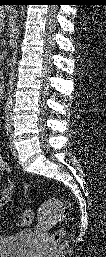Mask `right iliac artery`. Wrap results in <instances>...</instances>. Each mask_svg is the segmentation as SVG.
Here are the masks:
<instances>
[{
	"instance_id": "82829eb1",
	"label": "right iliac artery",
	"mask_w": 106,
	"mask_h": 257,
	"mask_svg": "<svg viewBox=\"0 0 106 257\" xmlns=\"http://www.w3.org/2000/svg\"><path fill=\"white\" fill-rule=\"evenodd\" d=\"M10 133V129H6V136H8Z\"/></svg>"
}]
</instances>
